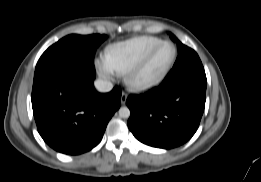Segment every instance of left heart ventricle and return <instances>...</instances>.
<instances>
[{
    "label": "left heart ventricle",
    "mask_w": 261,
    "mask_h": 182,
    "mask_svg": "<svg viewBox=\"0 0 261 182\" xmlns=\"http://www.w3.org/2000/svg\"><path fill=\"white\" fill-rule=\"evenodd\" d=\"M173 48L169 45L162 46L150 59L148 64L142 70L139 78L147 80L159 75L170 63L173 58Z\"/></svg>",
    "instance_id": "1"
}]
</instances>
